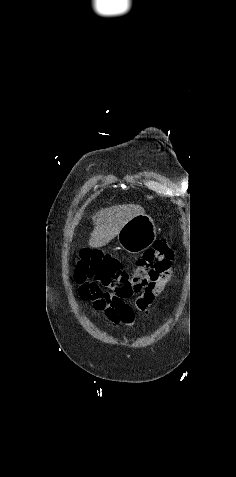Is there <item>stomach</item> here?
Wrapping results in <instances>:
<instances>
[{
  "mask_svg": "<svg viewBox=\"0 0 236 477\" xmlns=\"http://www.w3.org/2000/svg\"><path fill=\"white\" fill-rule=\"evenodd\" d=\"M156 238L153 219L141 214L131 218L117 235L118 243L125 251L133 254L149 248Z\"/></svg>",
  "mask_w": 236,
  "mask_h": 477,
  "instance_id": "0dacf381",
  "label": "stomach"
}]
</instances>
